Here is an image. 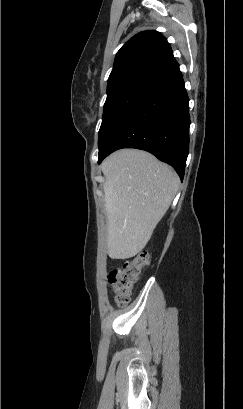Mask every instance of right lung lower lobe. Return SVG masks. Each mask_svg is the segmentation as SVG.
Segmentation results:
<instances>
[{
    "mask_svg": "<svg viewBox=\"0 0 243 409\" xmlns=\"http://www.w3.org/2000/svg\"><path fill=\"white\" fill-rule=\"evenodd\" d=\"M188 110L189 98L177 67L118 126L99 153L98 164L115 150L137 148L171 165L182 180L189 152Z\"/></svg>",
    "mask_w": 243,
    "mask_h": 409,
    "instance_id": "right-lung-lower-lobe-1",
    "label": "right lung lower lobe"
}]
</instances>
